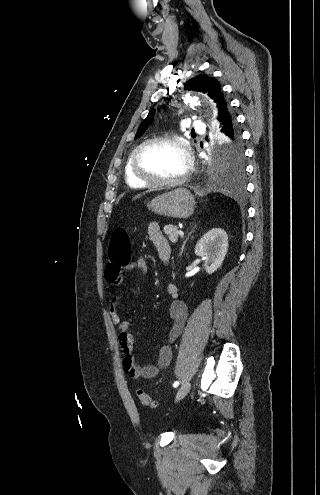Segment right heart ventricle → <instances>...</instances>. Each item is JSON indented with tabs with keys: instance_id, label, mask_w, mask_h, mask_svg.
Instances as JSON below:
<instances>
[{
	"instance_id": "obj_1",
	"label": "right heart ventricle",
	"mask_w": 320,
	"mask_h": 495,
	"mask_svg": "<svg viewBox=\"0 0 320 495\" xmlns=\"http://www.w3.org/2000/svg\"><path fill=\"white\" fill-rule=\"evenodd\" d=\"M133 153V152H132ZM132 153L128 156L125 165H124V177L126 183L132 188H144L147 187L148 184L138 180L131 171V156Z\"/></svg>"
}]
</instances>
